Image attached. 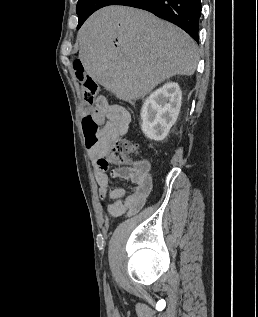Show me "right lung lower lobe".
I'll use <instances>...</instances> for the list:
<instances>
[{
  "label": "right lung lower lobe",
  "instance_id": "1",
  "mask_svg": "<svg viewBox=\"0 0 258 317\" xmlns=\"http://www.w3.org/2000/svg\"><path fill=\"white\" fill-rule=\"evenodd\" d=\"M108 5H125L147 10L179 26L195 41H199L201 0H86L77 13V29L93 12Z\"/></svg>",
  "mask_w": 258,
  "mask_h": 317
}]
</instances>
